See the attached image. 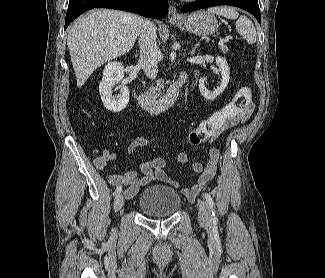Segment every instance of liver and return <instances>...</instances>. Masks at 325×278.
<instances>
[{"label":"liver","instance_id":"obj_1","mask_svg":"<svg viewBox=\"0 0 325 278\" xmlns=\"http://www.w3.org/2000/svg\"><path fill=\"white\" fill-rule=\"evenodd\" d=\"M143 22L139 15L111 9H95L75 21L67 45L77 86L105 62L129 52Z\"/></svg>","mask_w":325,"mask_h":278}]
</instances>
